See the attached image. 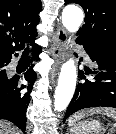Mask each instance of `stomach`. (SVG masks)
I'll return each instance as SVG.
<instances>
[{"label": "stomach", "mask_w": 116, "mask_h": 134, "mask_svg": "<svg viewBox=\"0 0 116 134\" xmlns=\"http://www.w3.org/2000/svg\"><path fill=\"white\" fill-rule=\"evenodd\" d=\"M102 125L97 120H85L83 122L73 124L70 128V134H99Z\"/></svg>", "instance_id": "1"}]
</instances>
